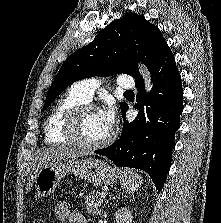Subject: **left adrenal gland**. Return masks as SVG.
I'll use <instances>...</instances> for the list:
<instances>
[{
  "label": "left adrenal gland",
  "instance_id": "left-adrenal-gland-1",
  "mask_svg": "<svg viewBox=\"0 0 221 223\" xmlns=\"http://www.w3.org/2000/svg\"><path fill=\"white\" fill-rule=\"evenodd\" d=\"M116 198H120V196H116V197L113 196V197H110L109 199H107L106 202H105V204L102 206V208L100 209V211H99L98 214L101 213V211L103 210V208L109 203L110 200H114Z\"/></svg>",
  "mask_w": 221,
  "mask_h": 223
}]
</instances>
